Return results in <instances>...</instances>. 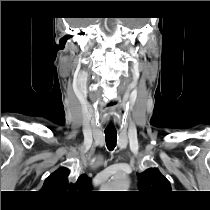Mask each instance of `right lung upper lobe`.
Here are the masks:
<instances>
[{
    "instance_id": "right-lung-upper-lobe-1",
    "label": "right lung upper lobe",
    "mask_w": 210,
    "mask_h": 210,
    "mask_svg": "<svg viewBox=\"0 0 210 210\" xmlns=\"http://www.w3.org/2000/svg\"><path fill=\"white\" fill-rule=\"evenodd\" d=\"M69 170L59 168L46 178L42 192L57 200H67L77 196L79 192L90 190L91 180L86 175H80L75 183L68 180Z\"/></svg>"
}]
</instances>
